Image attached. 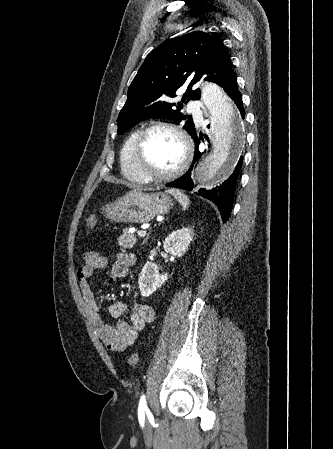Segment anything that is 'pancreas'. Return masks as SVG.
<instances>
[{
    "mask_svg": "<svg viewBox=\"0 0 333 449\" xmlns=\"http://www.w3.org/2000/svg\"><path fill=\"white\" fill-rule=\"evenodd\" d=\"M137 242V238L135 234L129 232V229L126 228L123 230V234L118 238V244L123 248H132L133 245Z\"/></svg>",
    "mask_w": 333,
    "mask_h": 449,
    "instance_id": "cf45deb5",
    "label": "pancreas"
}]
</instances>
